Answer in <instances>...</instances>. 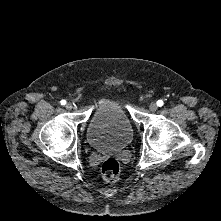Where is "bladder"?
I'll list each match as a JSON object with an SVG mask.
<instances>
[{
  "label": "bladder",
  "instance_id": "1",
  "mask_svg": "<svg viewBox=\"0 0 221 221\" xmlns=\"http://www.w3.org/2000/svg\"><path fill=\"white\" fill-rule=\"evenodd\" d=\"M86 138L96 149L121 150L133 139V127L118 102L104 99L89 121Z\"/></svg>",
  "mask_w": 221,
  "mask_h": 221
}]
</instances>
